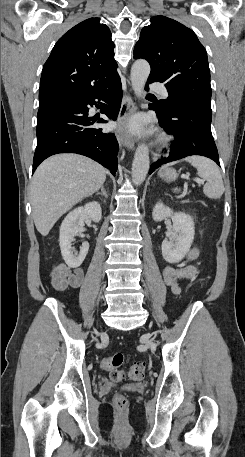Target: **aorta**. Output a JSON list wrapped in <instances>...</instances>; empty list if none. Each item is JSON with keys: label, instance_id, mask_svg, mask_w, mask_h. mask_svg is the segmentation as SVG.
<instances>
[{"label": "aorta", "instance_id": "obj_1", "mask_svg": "<svg viewBox=\"0 0 245 457\" xmlns=\"http://www.w3.org/2000/svg\"><path fill=\"white\" fill-rule=\"evenodd\" d=\"M151 68L147 61L136 60L131 68V84L134 93L141 98L144 93V86L149 77ZM149 150L144 144L137 147L132 163V181L135 185L144 182L149 170Z\"/></svg>", "mask_w": 245, "mask_h": 457}]
</instances>
